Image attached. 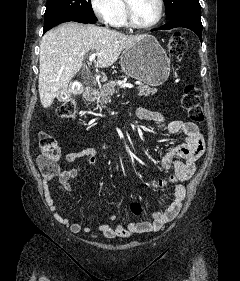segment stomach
Returning a JSON list of instances; mask_svg holds the SVG:
<instances>
[{"mask_svg":"<svg viewBox=\"0 0 240 281\" xmlns=\"http://www.w3.org/2000/svg\"><path fill=\"white\" fill-rule=\"evenodd\" d=\"M121 66L128 76L151 86L163 84L170 74V59L151 35L123 51Z\"/></svg>","mask_w":240,"mask_h":281,"instance_id":"stomach-1","label":"stomach"}]
</instances>
